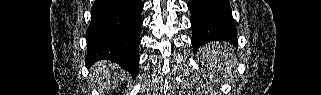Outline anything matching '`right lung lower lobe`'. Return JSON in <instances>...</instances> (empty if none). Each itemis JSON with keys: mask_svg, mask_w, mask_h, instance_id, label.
I'll return each instance as SVG.
<instances>
[{"mask_svg": "<svg viewBox=\"0 0 321 95\" xmlns=\"http://www.w3.org/2000/svg\"><path fill=\"white\" fill-rule=\"evenodd\" d=\"M142 9L141 0H95L86 31L87 66L108 59L136 77Z\"/></svg>", "mask_w": 321, "mask_h": 95, "instance_id": "obj_1", "label": "right lung lower lobe"}]
</instances>
